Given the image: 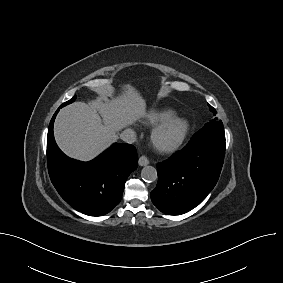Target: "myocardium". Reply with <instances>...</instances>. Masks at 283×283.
Returning <instances> with one entry per match:
<instances>
[{"label": "myocardium", "instance_id": "f54148a6", "mask_svg": "<svg viewBox=\"0 0 283 283\" xmlns=\"http://www.w3.org/2000/svg\"><path fill=\"white\" fill-rule=\"evenodd\" d=\"M176 126L178 133L176 137L167 143H161L159 136L168 128ZM190 130V125L187 119L173 115L159 124H157L150 136V140L154 148L162 154H170L177 151L185 142Z\"/></svg>", "mask_w": 283, "mask_h": 283}]
</instances>
